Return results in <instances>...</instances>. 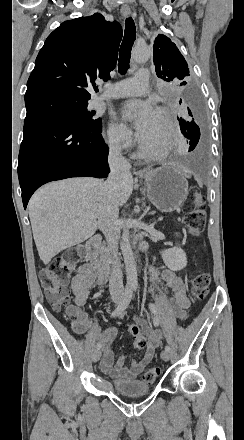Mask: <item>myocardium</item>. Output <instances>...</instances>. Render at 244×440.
I'll list each match as a JSON object with an SVG mask.
<instances>
[{
	"label": "myocardium",
	"instance_id": "f54148a6",
	"mask_svg": "<svg viewBox=\"0 0 244 440\" xmlns=\"http://www.w3.org/2000/svg\"><path fill=\"white\" fill-rule=\"evenodd\" d=\"M155 112L165 114V116L167 118V123H168L167 130H166V134H167L168 129H170V127H171V122H172V117H173L172 112L168 108H166L164 106L156 107L155 108ZM166 134H165V136L160 141H158L156 143H164ZM141 144L143 146H151V144L148 142V140H142ZM167 154H168L167 149H165L160 154L153 156V159H155V160H163V159H165L167 157Z\"/></svg>",
	"mask_w": 244,
	"mask_h": 440
}]
</instances>
